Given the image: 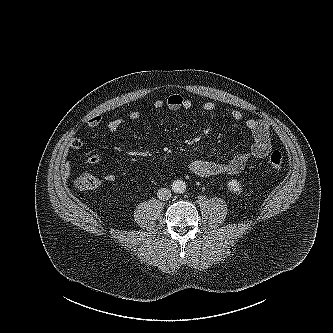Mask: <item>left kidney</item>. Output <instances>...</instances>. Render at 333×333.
<instances>
[{"label":"left kidney","mask_w":333,"mask_h":333,"mask_svg":"<svg viewBox=\"0 0 333 333\" xmlns=\"http://www.w3.org/2000/svg\"><path fill=\"white\" fill-rule=\"evenodd\" d=\"M227 185L231 192L237 193L241 191V184L236 179L229 181Z\"/></svg>","instance_id":"1"}]
</instances>
